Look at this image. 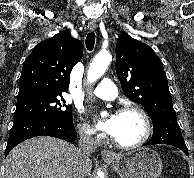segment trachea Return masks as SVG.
Returning a JSON list of instances; mask_svg holds the SVG:
<instances>
[{"mask_svg":"<svg viewBox=\"0 0 194 178\" xmlns=\"http://www.w3.org/2000/svg\"><path fill=\"white\" fill-rule=\"evenodd\" d=\"M95 37H96V36H95V33H94V32H90V33L87 34L85 43H86V48H87L89 51H92L93 48H94Z\"/></svg>","mask_w":194,"mask_h":178,"instance_id":"3493384b","label":"trachea"}]
</instances>
